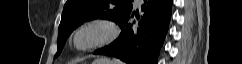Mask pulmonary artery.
Returning a JSON list of instances; mask_svg holds the SVG:
<instances>
[{"label":"pulmonary artery","instance_id":"1","mask_svg":"<svg viewBox=\"0 0 242 64\" xmlns=\"http://www.w3.org/2000/svg\"><path fill=\"white\" fill-rule=\"evenodd\" d=\"M137 4H141L142 0H136L135 1Z\"/></svg>","mask_w":242,"mask_h":64}]
</instances>
